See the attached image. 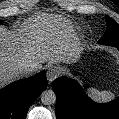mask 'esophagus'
<instances>
[{
    "label": "esophagus",
    "instance_id": "1",
    "mask_svg": "<svg viewBox=\"0 0 119 119\" xmlns=\"http://www.w3.org/2000/svg\"><path fill=\"white\" fill-rule=\"evenodd\" d=\"M60 74V69L57 66H51L47 71V80L52 82Z\"/></svg>",
    "mask_w": 119,
    "mask_h": 119
}]
</instances>
